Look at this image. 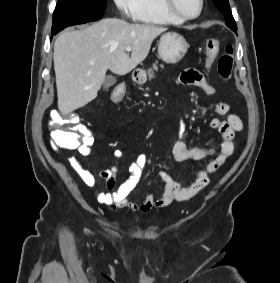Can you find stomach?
<instances>
[{"instance_id": "1", "label": "stomach", "mask_w": 280, "mask_h": 283, "mask_svg": "<svg viewBox=\"0 0 280 283\" xmlns=\"http://www.w3.org/2000/svg\"><path fill=\"white\" fill-rule=\"evenodd\" d=\"M188 47L187 41L181 34L167 32L159 40L158 56L165 63L176 64L185 56Z\"/></svg>"}]
</instances>
